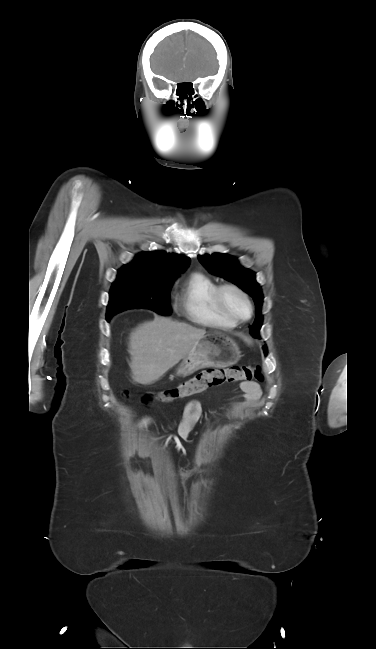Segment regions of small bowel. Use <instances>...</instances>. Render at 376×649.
I'll use <instances>...</instances> for the list:
<instances>
[{
	"mask_svg": "<svg viewBox=\"0 0 376 649\" xmlns=\"http://www.w3.org/2000/svg\"><path fill=\"white\" fill-rule=\"evenodd\" d=\"M240 390L243 394V407L249 408L255 406L262 396L261 387L257 382L244 381L240 384ZM202 415V406L198 400H191L185 404L182 419L178 425L177 435L183 440H188L193 426L198 422ZM151 417H145L140 420L139 427L145 428L152 423Z\"/></svg>",
	"mask_w": 376,
	"mask_h": 649,
	"instance_id": "1",
	"label": "small bowel"
}]
</instances>
